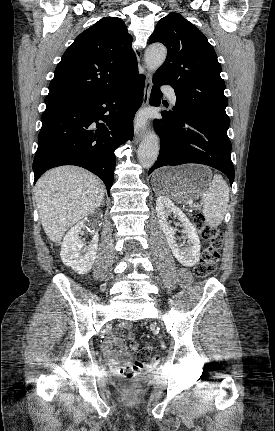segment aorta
Here are the masks:
<instances>
[{
	"instance_id": "obj_1",
	"label": "aorta",
	"mask_w": 275,
	"mask_h": 431,
	"mask_svg": "<svg viewBox=\"0 0 275 431\" xmlns=\"http://www.w3.org/2000/svg\"><path fill=\"white\" fill-rule=\"evenodd\" d=\"M167 50L163 45H151L145 52L147 68L155 72L165 61ZM159 138L155 134L145 136L138 148V160L144 168H150L155 163L159 154Z\"/></svg>"
}]
</instances>
